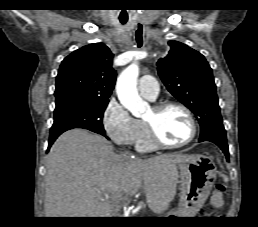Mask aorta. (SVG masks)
I'll list each match as a JSON object with an SVG mask.
<instances>
[{
  "label": "aorta",
  "mask_w": 258,
  "mask_h": 227,
  "mask_svg": "<svg viewBox=\"0 0 258 227\" xmlns=\"http://www.w3.org/2000/svg\"><path fill=\"white\" fill-rule=\"evenodd\" d=\"M138 76L139 67L136 63H132L121 72L116 84V92L120 103L135 117H141L148 106L138 94Z\"/></svg>",
  "instance_id": "obj_1"
}]
</instances>
